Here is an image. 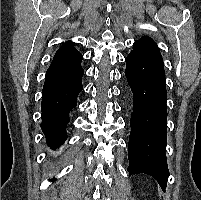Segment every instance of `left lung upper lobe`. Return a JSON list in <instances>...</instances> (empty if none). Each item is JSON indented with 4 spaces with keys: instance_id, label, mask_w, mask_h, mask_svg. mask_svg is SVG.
I'll return each instance as SVG.
<instances>
[{
    "instance_id": "left-lung-upper-lobe-1",
    "label": "left lung upper lobe",
    "mask_w": 201,
    "mask_h": 200,
    "mask_svg": "<svg viewBox=\"0 0 201 200\" xmlns=\"http://www.w3.org/2000/svg\"><path fill=\"white\" fill-rule=\"evenodd\" d=\"M131 53L139 55H161L157 44L148 36H143L136 41Z\"/></svg>"
}]
</instances>
